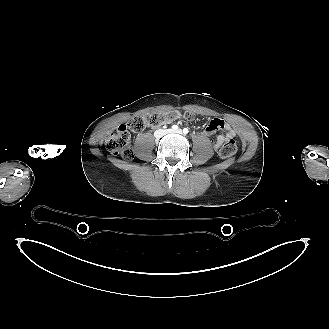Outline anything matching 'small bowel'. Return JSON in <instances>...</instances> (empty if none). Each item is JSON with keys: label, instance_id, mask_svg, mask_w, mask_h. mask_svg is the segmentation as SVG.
<instances>
[{"label": "small bowel", "instance_id": "c3829d8e", "mask_svg": "<svg viewBox=\"0 0 329 329\" xmlns=\"http://www.w3.org/2000/svg\"><path fill=\"white\" fill-rule=\"evenodd\" d=\"M217 133L219 136L213 141V145L215 148H218L225 139L234 138L236 133L230 127L228 123L223 120L213 119L211 120L205 128V135L210 136L213 133Z\"/></svg>", "mask_w": 329, "mask_h": 329}]
</instances>
